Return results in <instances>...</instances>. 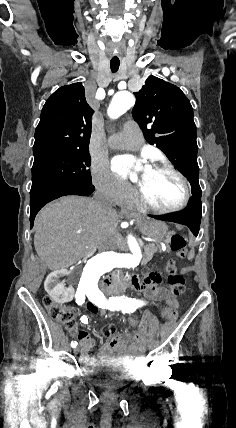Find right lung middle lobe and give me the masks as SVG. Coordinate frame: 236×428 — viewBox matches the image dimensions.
Instances as JSON below:
<instances>
[{
    "mask_svg": "<svg viewBox=\"0 0 236 428\" xmlns=\"http://www.w3.org/2000/svg\"><path fill=\"white\" fill-rule=\"evenodd\" d=\"M32 187L30 194L62 185H91L87 167L91 158L88 147L33 150Z\"/></svg>",
    "mask_w": 236,
    "mask_h": 428,
    "instance_id": "obj_1",
    "label": "right lung middle lobe"
}]
</instances>
